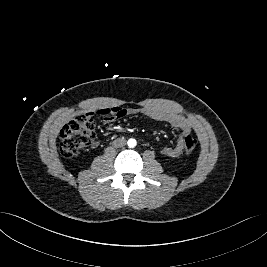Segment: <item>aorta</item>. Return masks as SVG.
Wrapping results in <instances>:
<instances>
[{"label":"aorta","mask_w":267,"mask_h":267,"mask_svg":"<svg viewBox=\"0 0 267 267\" xmlns=\"http://www.w3.org/2000/svg\"><path fill=\"white\" fill-rule=\"evenodd\" d=\"M127 144H128V146H129L130 148H133V147L136 146L137 142H136L135 139H129L128 142H127Z\"/></svg>","instance_id":"762f6f07"}]
</instances>
